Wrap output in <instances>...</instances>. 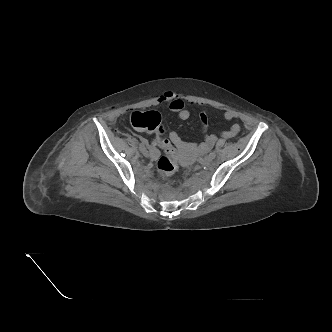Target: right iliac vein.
Returning <instances> with one entry per match:
<instances>
[{"label": "right iliac vein", "mask_w": 332, "mask_h": 332, "mask_svg": "<svg viewBox=\"0 0 332 332\" xmlns=\"http://www.w3.org/2000/svg\"><path fill=\"white\" fill-rule=\"evenodd\" d=\"M139 150H140L141 153H144L146 151V148L143 144H140L139 145Z\"/></svg>", "instance_id": "1"}]
</instances>
